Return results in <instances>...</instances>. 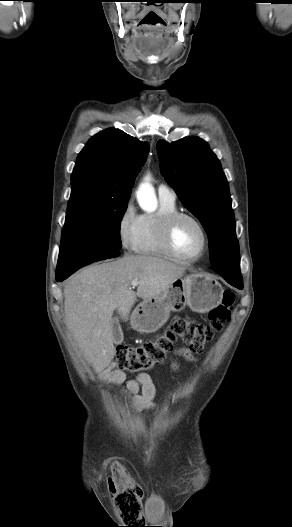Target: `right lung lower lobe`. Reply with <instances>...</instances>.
<instances>
[{
  "mask_svg": "<svg viewBox=\"0 0 292 527\" xmlns=\"http://www.w3.org/2000/svg\"><path fill=\"white\" fill-rule=\"evenodd\" d=\"M120 253L104 246L66 247L59 253L56 281L62 282L79 268L104 259L114 258Z\"/></svg>",
  "mask_w": 292,
  "mask_h": 527,
  "instance_id": "obj_1",
  "label": "right lung lower lobe"
}]
</instances>
